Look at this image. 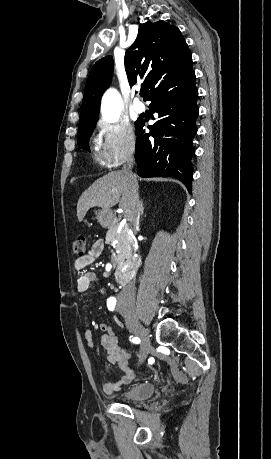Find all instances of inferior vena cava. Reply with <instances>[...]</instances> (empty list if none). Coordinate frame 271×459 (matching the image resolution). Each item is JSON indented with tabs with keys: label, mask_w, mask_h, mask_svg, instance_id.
I'll list each match as a JSON object with an SVG mask.
<instances>
[{
	"label": "inferior vena cava",
	"mask_w": 271,
	"mask_h": 459,
	"mask_svg": "<svg viewBox=\"0 0 271 459\" xmlns=\"http://www.w3.org/2000/svg\"><path fill=\"white\" fill-rule=\"evenodd\" d=\"M134 160H129L127 162V166L123 168L122 172L124 174H128L129 178H134L135 182L132 186V208L131 212H129V220L130 222H133V224H139V218L141 216L142 208H141V202H139V194L137 192L138 190V182L136 180V176H132V168H133ZM121 297L123 299H132L134 301L135 299V283L131 281V283H127V285H124L122 291H120Z\"/></svg>",
	"instance_id": "obj_1"
}]
</instances>
